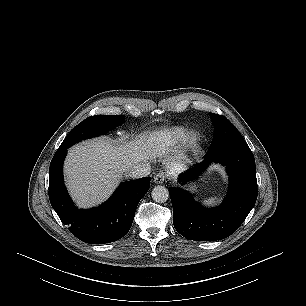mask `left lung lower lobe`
Masks as SVG:
<instances>
[{
    "label": "left lung lower lobe",
    "instance_id": "obj_1",
    "mask_svg": "<svg viewBox=\"0 0 306 306\" xmlns=\"http://www.w3.org/2000/svg\"><path fill=\"white\" fill-rule=\"evenodd\" d=\"M211 162L225 165L229 175L228 195L220 206L204 208L187 191L170 188L174 227L189 240L213 241L230 236L257 199L255 159L247 144L208 150L204 160L182 174L181 180L192 179Z\"/></svg>",
    "mask_w": 306,
    "mask_h": 306
}]
</instances>
